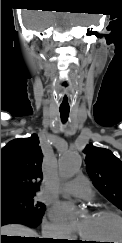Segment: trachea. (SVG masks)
<instances>
[{"label":"trachea","mask_w":122,"mask_h":243,"mask_svg":"<svg viewBox=\"0 0 122 243\" xmlns=\"http://www.w3.org/2000/svg\"><path fill=\"white\" fill-rule=\"evenodd\" d=\"M59 111H60L62 122H66L69 117L70 109L60 108Z\"/></svg>","instance_id":"1"}]
</instances>
